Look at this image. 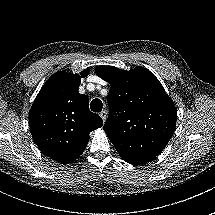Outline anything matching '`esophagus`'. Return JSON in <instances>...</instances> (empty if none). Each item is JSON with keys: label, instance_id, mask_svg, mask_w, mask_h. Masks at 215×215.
I'll list each match as a JSON object with an SVG mask.
<instances>
[{"label": "esophagus", "instance_id": "1", "mask_svg": "<svg viewBox=\"0 0 215 215\" xmlns=\"http://www.w3.org/2000/svg\"><path fill=\"white\" fill-rule=\"evenodd\" d=\"M100 117H101L102 120L105 122V121H106V118H107V111H106V110H103V111L100 113Z\"/></svg>", "mask_w": 215, "mask_h": 215}]
</instances>
